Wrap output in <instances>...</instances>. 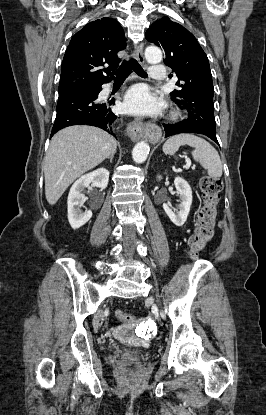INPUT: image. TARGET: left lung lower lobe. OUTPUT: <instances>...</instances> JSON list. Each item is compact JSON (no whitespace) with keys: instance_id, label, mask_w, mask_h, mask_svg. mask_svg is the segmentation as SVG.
Listing matches in <instances>:
<instances>
[{"instance_id":"1","label":"left lung lower lobe","mask_w":266,"mask_h":415,"mask_svg":"<svg viewBox=\"0 0 266 415\" xmlns=\"http://www.w3.org/2000/svg\"><path fill=\"white\" fill-rule=\"evenodd\" d=\"M163 127L165 130V137L179 133H198L208 136L219 145L216 138V133L204 131L203 129L190 125L185 121L176 124H163Z\"/></svg>"}]
</instances>
